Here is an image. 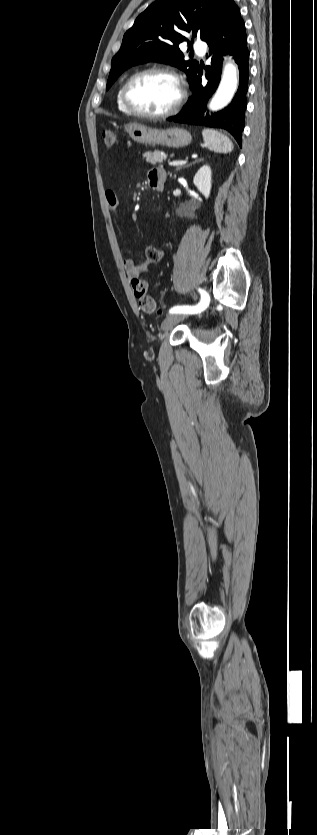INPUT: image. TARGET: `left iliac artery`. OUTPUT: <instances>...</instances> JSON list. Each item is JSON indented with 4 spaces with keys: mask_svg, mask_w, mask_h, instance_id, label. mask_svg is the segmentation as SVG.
<instances>
[{
    "mask_svg": "<svg viewBox=\"0 0 317 835\" xmlns=\"http://www.w3.org/2000/svg\"><path fill=\"white\" fill-rule=\"evenodd\" d=\"M199 292L201 294V300L196 305H177L170 309L169 313H183V314H194L201 312L206 309L209 304V295L206 291L199 288Z\"/></svg>",
    "mask_w": 317,
    "mask_h": 835,
    "instance_id": "1",
    "label": "left iliac artery"
}]
</instances>
